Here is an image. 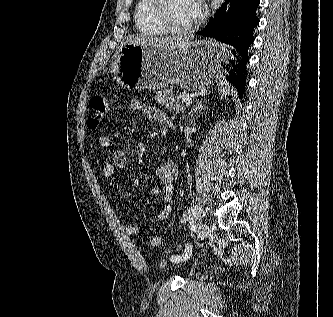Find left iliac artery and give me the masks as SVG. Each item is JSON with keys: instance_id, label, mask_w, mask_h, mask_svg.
<instances>
[{"instance_id": "left-iliac-artery-1", "label": "left iliac artery", "mask_w": 333, "mask_h": 317, "mask_svg": "<svg viewBox=\"0 0 333 317\" xmlns=\"http://www.w3.org/2000/svg\"><path fill=\"white\" fill-rule=\"evenodd\" d=\"M201 208L198 205H193L189 208L188 212L186 213L185 219L186 220H193L199 216ZM192 254V246L187 244L185 251L182 255H174L171 257L172 262H180L185 261L188 259Z\"/></svg>"}]
</instances>
